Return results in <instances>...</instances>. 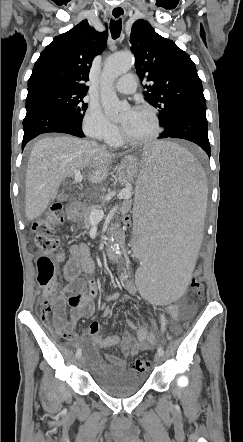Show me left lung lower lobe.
Segmentation results:
<instances>
[{"mask_svg":"<svg viewBox=\"0 0 243 442\" xmlns=\"http://www.w3.org/2000/svg\"><path fill=\"white\" fill-rule=\"evenodd\" d=\"M205 100H190L179 105L162 125L159 138H180L199 145L210 157Z\"/></svg>","mask_w":243,"mask_h":442,"instance_id":"obj_1","label":"left lung lower lobe"}]
</instances>
